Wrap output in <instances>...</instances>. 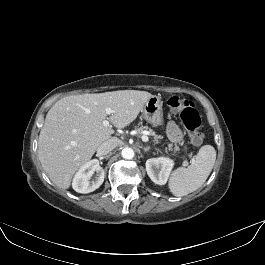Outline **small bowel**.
I'll use <instances>...</instances> for the list:
<instances>
[{
	"label": "small bowel",
	"mask_w": 265,
	"mask_h": 265,
	"mask_svg": "<svg viewBox=\"0 0 265 265\" xmlns=\"http://www.w3.org/2000/svg\"><path fill=\"white\" fill-rule=\"evenodd\" d=\"M167 133L169 138L176 143H179L182 141L183 136H182V132L180 131V129L178 128V126L173 123L170 122L167 126Z\"/></svg>",
	"instance_id": "small-bowel-1"
}]
</instances>
